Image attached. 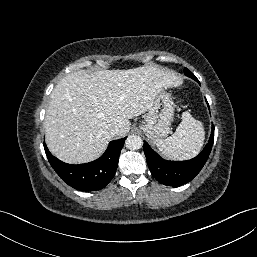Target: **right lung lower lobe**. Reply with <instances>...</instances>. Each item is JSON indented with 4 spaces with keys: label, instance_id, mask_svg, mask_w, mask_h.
<instances>
[{
    "label": "right lung lower lobe",
    "instance_id": "98d812e1",
    "mask_svg": "<svg viewBox=\"0 0 257 257\" xmlns=\"http://www.w3.org/2000/svg\"><path fill=\"white\" fill-rule=\"evenodd\" d=\"M125 138L111 141L97 160L81 164H67L53 156L44 143L45 153L52 168L69 186L80 191H95L107 186L113 178Z\"/></svg>",
    "mask_w": 257,
    "mask_h": 257
}]
</instances>
